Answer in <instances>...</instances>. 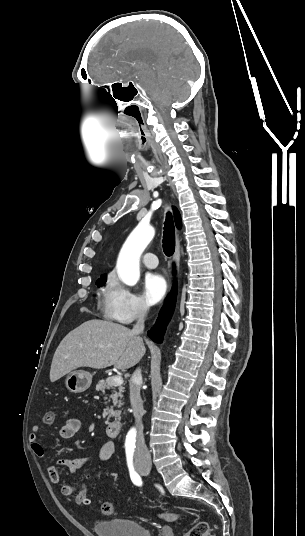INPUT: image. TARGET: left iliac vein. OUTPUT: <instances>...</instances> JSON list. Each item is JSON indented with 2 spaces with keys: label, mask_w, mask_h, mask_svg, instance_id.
<instances>
[{
  "label": "left iliac vein",
  "mask_w": 305,
  "mask_h": 536,
  "mask_svg": "<svg viewBox=\"0 0 305 536\" xmlns=\"http://www.w3.org/2000/svg\"><path fill=\"white\" fill-rule=\"evenodd\" d=\"M148 473H149L148 471H142V472H141V474H142V475H145V476H147Z\"/></svg>",
  "instance_id": "left-iliac-vein-1"
}]
</instances>
